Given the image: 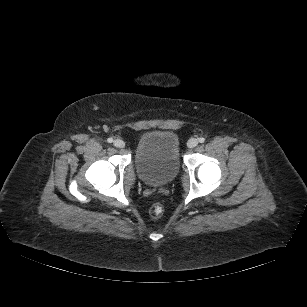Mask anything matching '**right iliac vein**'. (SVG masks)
Wrapping results in <instances>:
<instances>
[{"mask_svg":"<svg viewBox=\"0 0 307 307\" xmlns=\"http://www.w3.org/2000/svg\"><path fill=\"white\" fill-rule=\"evenodd\" d=\"M114 146L117 148H124L125 147V142L121 139H116L114 141Z\"/></svg>","mask_w":307,"mask_h":307,"instance_id":"right-iliac-vein-1","label":"right iliac vein"}]
</instances>
